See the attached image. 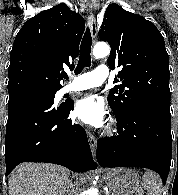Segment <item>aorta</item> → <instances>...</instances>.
Wrapping results in <instances>:
<instances>
[{
  "instance_id": "obj_1",
  "label": "aorta",
  "mask_w": 178,
  "mask_h": 195,
  "mask_svg": "<svg viewBox=\"0 0 178 195\" xmlns=\"http://www.w3.org/2000/svg\"><path fill=\"white\" fill-rule=\"evenodd\" d=\"M110 53V47L107 43L99 42L97 43L93 48V56L95 58H104L108 56ZM89 195H98V189L97 188H91L88 191Z\"/></svg>"
}]
</instances>
